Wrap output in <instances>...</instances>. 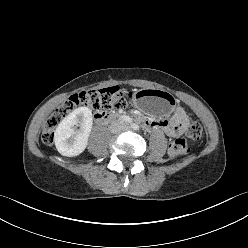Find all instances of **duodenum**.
<instances>
[{
	"mask_svg": "<svg viewBox=\"0 0 248 248\" xmlns=\"http://www.w3.org/2000/svg\"><path fill=\"white\" fill-rule=\"evenodd\" d=\"M95 118L97 121H106V120L113 118V115L109 113L108 114L98 113L95 115Z\"/></svg>",
	"mask_w": 248,
	"mask_h": 248,
	"instance_id": "410a0bca",
	"label": "duodenum"
}]
</instances>
